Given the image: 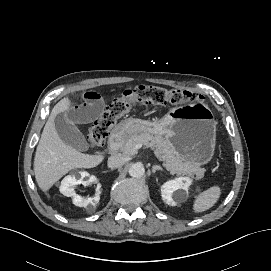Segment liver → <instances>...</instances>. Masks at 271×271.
Segmentation results:
<instances>
[{"label": "liver", "instance_id": "6515ba94", "mask_svg": "<svg viewBox=\"0 0 271 271\" xmlns=\"http://www.w3.org/2000/svg\"><path fill=\"white\" fill-rule=\"evenodd\" d=\"M70 101L60 100L52 109L44 126L34 158L36 182L42 191H48L59 179L76 168H94L103 160L102 155L84 154L64 145L55 126V118L61 106Z\"/></svg>", "mask_w": 271, "mask_h": 271}]
</instances>
